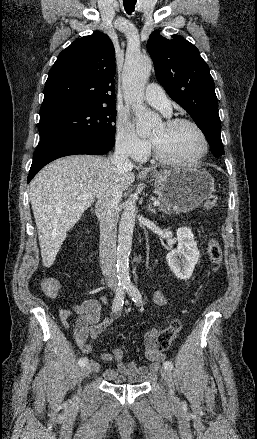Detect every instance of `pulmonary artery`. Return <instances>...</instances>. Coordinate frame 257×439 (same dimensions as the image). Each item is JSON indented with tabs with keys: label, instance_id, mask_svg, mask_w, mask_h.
<instances>
[{
	"label": "pulmonary artery",
	"instance_id": "pulmonary-artery-1",
	"mask_svg": "<svg viewBox=\"0 0 257 439\" xmlns=\"http://www.w3.org/2000/svg\"><path fill=\"white\" fill-rule=\"evenodd\" d=\"M144 98L147 103L162 111L164 114H170V101L159 85L149 84L145 89Z\"/></svg>",
	"mask_w": 257,
	"mask_h": 439
}]
</instances>
